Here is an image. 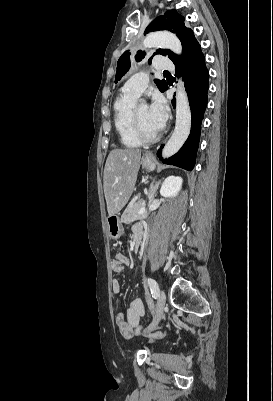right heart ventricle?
Returning <instances> with one entry per match:
<instances>
[{
    "mask_svg": "<svg viewBox=\"0 0 273 401\" xmlns=\"http://www.w3.org/2000/svg\"><path fill=\"white\" fill-rule=\"evenodd\" d=\"M136 98L137 97L124 92L114 100L113 104L115 129L121 143L129 148H137L143 145V142L135 134L132 125L131 114Z\"/></svg>",
    "mask_w": 273,
    "mask_h": 401,
    "instance_id": "right-heart-ventricle-1",
    "label": "right heart ventricle"
}]
</instances>
